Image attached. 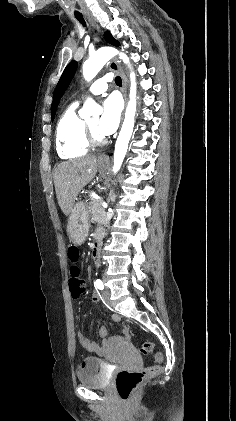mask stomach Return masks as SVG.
Here are the masks:
<instances>
[{
    "instance_id": "0dacf381",
    "label": "stomach",
    "mask_w": 236,
    "mask_h": 421,
    "mask_svg": "<svg viewBox=\"0 0 236 421\" xmlns=\"http://www.w3.org/2000/svg\"><path fill=\"white\" fill-rule=\"evenodd\" d=\"M97 164L99 172L103 174L108 166V162H104V160L98 158ZM88 208L87 202L78 200V202H75L68 217L67 235L73 245H83L89 235L90 213Z\"/></svg>"
}]
</instances>
